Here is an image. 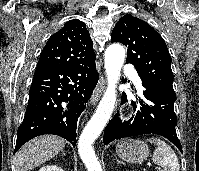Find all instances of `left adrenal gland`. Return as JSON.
Masks as SVG:
<instances>
[{
    "label": "left adrenal gland",
    "instance_id": "obj_1",
    "mask_svg": "<svg viewBox=\"0 0 199 171\" xmlns=\"http://www.w3.org/2000/svg\"><path fill=\"white\" fill-rule=\"evenodd\" d=\"M116 161H117V164H121V161H120V160L117 159Z\"/></svg>",
    "mask_w": 199,
    "mask_h": 171
}]
</instances>
